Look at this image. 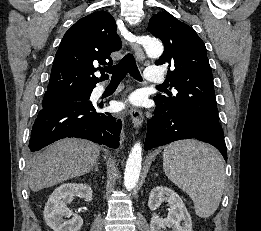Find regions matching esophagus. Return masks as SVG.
Listing matches in <instances>:
<instances>
[{"label": "esophagus", "instance_id": "obj_1", "mask_svg": "<svg viewBox=\"0 0 261 231\" xmlns=\"http://www.w3.org/2000/svg\"><path fill=\"white\" fill-rule=\"evenodd\" d=\"M130 45H131L132 49L134 50L137 59L139 61H142L145 58V56H144V52H143L140 44L138 43L137 39L136 38L131 39ZM130 115H131L132 122L134 123V126L140 127L144 120V116H143L142 112L138 108L131 107Z\"/></svg>", "mask_w": 261, "mask_h": 231}]
</instances>
